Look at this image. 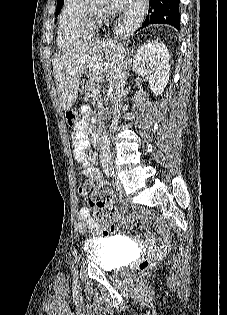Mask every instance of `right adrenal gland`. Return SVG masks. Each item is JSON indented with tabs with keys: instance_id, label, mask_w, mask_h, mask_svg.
I'll return each mask as SVG.
<instances>
[{
	"instance_id": "obj_1",
	"label": "right adrenal gland",
	"mask_w": 227,
	"mask_h": 315,
	"mask_svg": "<svg viewBox=\"0 0 227 315\" xmlns=\"http://www.w3.org/2000/svg\"><path fill=\"white\" fill-rule=\"evenodd\" d=\"M133 50L131 51V53H130V55H129V51L127 50L126 51V60H127V65H128V68H129V66H130V64H131V62H132V56H133Z\"/></svg>"
}]
</instances>
